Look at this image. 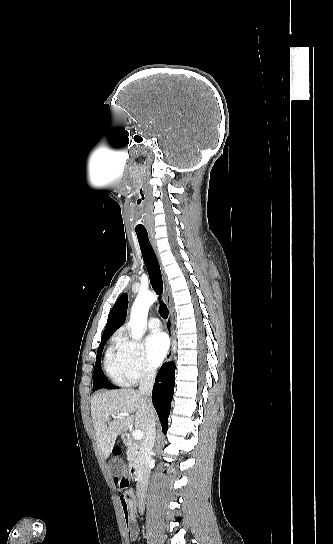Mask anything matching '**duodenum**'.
<instances>
[{"instance_id":"duodenum-1","label":"duodenum","mask_w":333,"mask_h":544,"mask_svg":"<svg viewBox=\"0 0 333 544\" xmlns=\"http://www.w3.org/2000/svg\"><path fill=\"white\" fill-rule=\"evenodd\" d=\"M122 441L127 447L131 449L137 448L136 444L133 442L132 438L128 434H123ZM146 473H147V465L143 463L133 462L129 467V475L135 481L143 480Z\"/></svg>"}]
</instances>
